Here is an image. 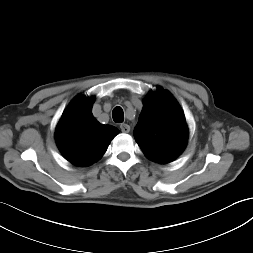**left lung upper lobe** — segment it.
Masks as SVG:
<instances>
[{"instance_id": "left-lung-upper-lobe-1", "label": "left lung upper lobe", "mask_w": 253, "mask_h": 253, "mask_svg": "<svg viewBox=\"0 0 253 253\" xmlns=\"http://www.w3.org/2000/svg\"><path fill=\"white\" fill-rule=\"evenodd\" d=\"M144 108L134 137L145 156L158 163H169L184 150L188 139L185 116L173 96L161 87L144 99Z\"/></svg>"}]
</instances>
